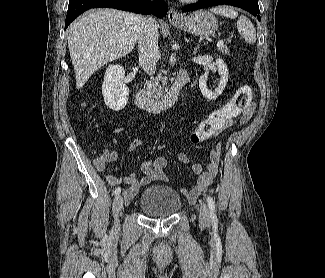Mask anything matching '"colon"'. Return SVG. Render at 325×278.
Returning <instances> with one entry per match:
<instances>
[{
  "instance_id": "obj_1",
  "label": "colon",
  "mask_w": 325,
  "mask_h": 278,
  "mask_svg": "<svg viewBox=\"0 0 325 278\" xmlns=\"http://www.w3.org/2000/svg\"><path fill=\"white\" fill-rule=\"evenodd\" d=\"M251 105V88L248 85L240 86L229 102L213 111L206 119L200 122L190 135V140L192 142H201L211 138Z\"/></svg>"
}]
</instances>
